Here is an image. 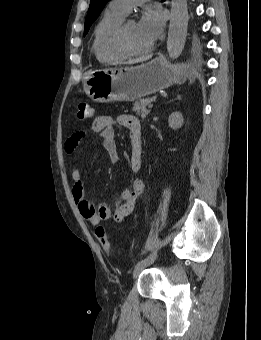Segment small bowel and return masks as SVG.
Masks as SVG:
<instances>
[{"instance_id":"obj_1","label":"small bowel","mask_w":261,"mask_h":340,"mask_svg":"<svg viewBox=\"0 0 261 340\" xmlns=\"http://www.w3.org/2000/svg\"><path fill=\"white\" fill-rule=\"evenodd\" d=\"M126 128L130 137V156L129 167L132 172H137L142 161V138L141 126L139 120L131 115H121L116 121L107 115H101L95 118L92 123V130L99 134L104 150L110 157L112 163L118 162V150L115 140L114 123ZM85 137L84 131H76L65 143V150L71 154L78 147L79 143ZM73 188L72 194L78 205L82 217L92 225H98L101 221L113 218L116 222L124 220L129 216L144 191V183L141 179L135 178L130 189L124 190L115 202L113 211L107 204L101 203L95 205L87 196L82 173L79 167L72 170Z\"/></svg>"}]
</instances>
